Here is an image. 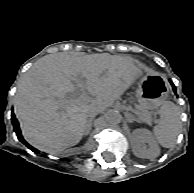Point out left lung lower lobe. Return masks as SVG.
I'll list each match as a JSON object with an SVG mask.
<instances>
[{
  "label": "left lung lower lobe",
  "instance_id": "1",
  "mask_svg": "<svg viewBox=\"0 0 194 193\" xmlns=\"http://www.w3.org/2000/svg\"><path fill=\"white\" fill-rule=\"evenodd\" d=\"M171 84H172V87H173L174 91H176L174 84L172 82H171Z\"/></svg>",
  "mask_w": 194,
  "mask_h": 193
}]
</instances>
